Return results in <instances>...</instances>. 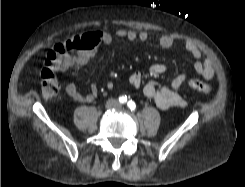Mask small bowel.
I'll use <instances>...</instances> for the list:
<instances>
[{"mask_svg":"<svg viewBox=\"0 0 245 187\" xmlns=\"http://www.w3.org/2000/svg\"><path fill=\"white\" fill-rule=\"evenodd\" d=\"M115 38L146 42L150 39V34L143 30H127L122 28L117 29L114 33L101 30L92 31L86 35L87 49L78 51L60 61L58 63V70L65 71L74 65L87 64L93 58L97 46L109 45ZM176 42L177 38L170 34H164L159 38L160 46L166 49L171 48ZM184 46L195 60L194 71L205 79L213 78L215 69L212 61L210 59H203L200 49L194 42L186 40ZM47 58H51V51L48 52ZM166 70V65L162 63H157L150 67V72L155 75L163 74ZM186 79L187 75L182 73L177 75L168 86H162L156 82H148L143 86V93L162 110L171 107H183L186 106L187 102L179 94V90L184 85ZM128 82L131 86L139 88L143 84V77L141 73L133 72L128 77ZM112 86V83L107 84L108 89H111ZM65 91L70 98L80 103H89L98 95V89L95 85H92L90 92L85 94L78 90V87L74 82L68 83Z\"/></svg>","mask_w":245,"mask_h":187,"instance_id":"c3829d8e","label":"small bowel"}]
</instances>
